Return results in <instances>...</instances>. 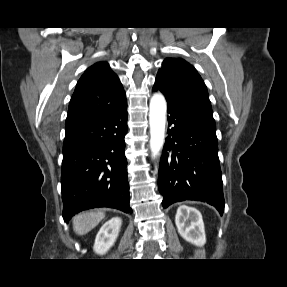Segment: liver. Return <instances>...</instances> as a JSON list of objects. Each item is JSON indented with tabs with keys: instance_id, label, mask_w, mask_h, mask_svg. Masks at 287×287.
I'll use <instances>...</instances> for the list:
<instances>
[{
	"instance_id": "obj_1",
	"label": "liver",
	"mask_w": 287,
	"mask_h": 287,
	"mask_svg": "<svg viewBox=\"0 0 287 287\" xmlns=\"http://www.w3.org/2000/svg\"><path fill=\"white\" fill-rule=\"evenodd\" d=\"M104 218L105 213L100 210L82 212L73 218V229L78 235H85Z\"/></svg>"
}]
</instances>
